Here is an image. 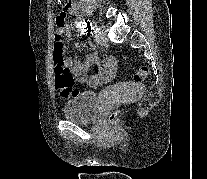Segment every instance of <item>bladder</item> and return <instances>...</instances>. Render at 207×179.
<instances>
[{
  "label": "bladder",
  "instance_id": "31cf9c89",
  "mask_svg": "<svg viewBox=\"0 0 207 179\" xmlns=\"http://www.w3.org/2000/svg\"><path fill=\"white\" fill-rule=\"evenodd\" d=\"M99 113V97L96 93L84 91L72 96L63 108L64 117L77 123L93 122Z\"/></svg>",
  "mask_w": 207,
  "mask_h": 179
}]
</instances>
